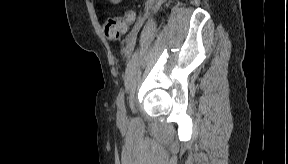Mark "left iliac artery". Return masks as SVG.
<instances>
[{
	"mask_svg": "<svg viewBox=\"0 0 288 164\" xmlns=\"http://www.w3.org/2000/svg\"><path fill=\"white\" fill-rule=\"evenodd\" d=\"M116 104L123 113V115H125L124 90H121L120 93L118 94Z\"/></svg>",
	"mask_w": 288,
	"mask_h": 164,
	"instance_id": "left-iliac-artery-1",
	"label": "left iliac artery"
}]
</instances>
